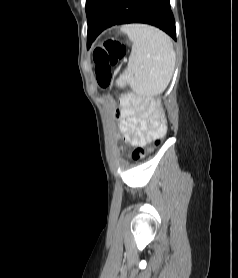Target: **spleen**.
<instances>
[{
    "mask_svg": "<svg viewBox=\"0 0 238 278\" xmlns=\"http://www.w3.org/2000/svg\"><path fill=\"white\" fill-rule=\"evenodd\" d=\"M132 41L127 69L116 83L129 84L133 89L147 93H161L168 86L175 68V52L170 37L163 31L144 24L121 27Z\"/></svg>",
    "mask_w": 238,
    "mask_h": 278,
    "instance_id": "3e777b00",
    "label": "spleen"
}]
</instances>
